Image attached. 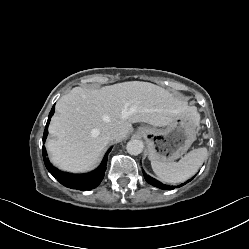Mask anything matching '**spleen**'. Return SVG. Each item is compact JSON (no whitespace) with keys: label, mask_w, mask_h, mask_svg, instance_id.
<instances>
[{"label":"spleen","mask_w":249,"mask_h":249,"mask_svg":"<svg viewBox=\"0 0 249 249\" xmlns=\"http://www.w3.org/2000/svg\"><path fill=\"white\" fill-rule=\"evenodd\" d=\"M207 154V149L202 147L190 151L178 162L151 161V167L160 180L176 184L193 176L207 158Z\"/></svg>","instance_id":"3e777b00"}]
</instances>
